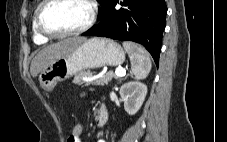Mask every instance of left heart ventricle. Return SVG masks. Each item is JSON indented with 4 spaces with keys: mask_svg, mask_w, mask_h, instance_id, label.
<instances>
[{
    "mask_svg": "<svg viewBox=\"0 0 227 142\" xmlns=\"http://www.w3.org/2000/svg\"><path fill=\"white\" fill-rule=\"evenodd\" d=\"M90 10L84 0H57L43 14L44 26L57 33L68 32L83 26Z\"/></svg>",
    "mask_w": 227,
    "mask_h": 142,
    "instance_id": "left-heart-ventricle-1",
    "label": "left heart ventricle"
}]
</instances>
